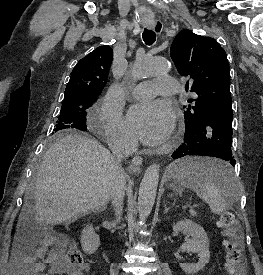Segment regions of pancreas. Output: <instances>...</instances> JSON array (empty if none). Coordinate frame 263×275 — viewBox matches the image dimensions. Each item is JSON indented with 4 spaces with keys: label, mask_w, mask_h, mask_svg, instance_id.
<instances>
[{
    "label": "pancreas",
    "mask_w": 263,
    "mask_h": 275,
    "mask_svg": "<svg viewBox=\"0 0 263 275\" xmlns=\"http://www.w3.org/2000/svg\"><path fill=\"white\" fill-rule=\"evenodd\" d=\"M189 212H190L191 216H194V217L197 216V213L194 210H190Z\"/></svg>",
    "instance_id": "pancreas-1"
}]
</instances>
